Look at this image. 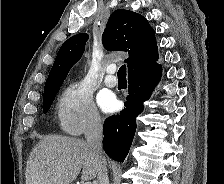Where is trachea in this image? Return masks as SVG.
<instances>
[{
  "label": "trachea",
  "mask_w": 224,
  "mask_h": 184,
  "mask_svg": "<svg viewBox=\"0 0 224 184\" xmlns=\"http://www.w3.org/2000/svg\"><path fill=\"white\" fill-rule=\"evenodd\" d=\"M118 79H126V65H122L117 72Z\"/></svg>",
  "instance_id": "3493384b"
}]
</instances>
